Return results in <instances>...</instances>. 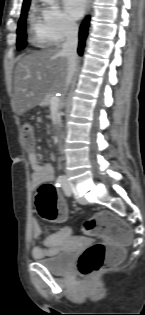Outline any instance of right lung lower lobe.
<instances>
[{
  "label": "right lung lower lobe",
  "instance_id": "right-lung-lower-lobe-1",
  "mask_svg": "<svg viewBox=\"0 0 145 315\" xmlns=\"http://www.w3.org/2000/svg\"><path fill=\"white\" fill-rule=\"evenodd\" d=\"M88 25H89V18H86L83 22V24L80 27L79 31V46H78V53L82 55L83 48L85 45V40L87 37V31H88Z\"/></svg>",
  "mask_w": 145,
  "mask_h": 315
}]
</instances>
